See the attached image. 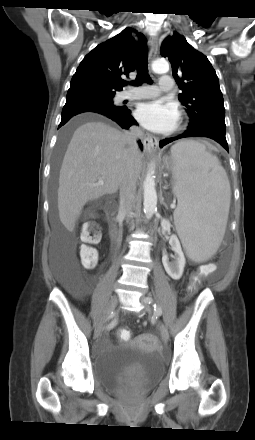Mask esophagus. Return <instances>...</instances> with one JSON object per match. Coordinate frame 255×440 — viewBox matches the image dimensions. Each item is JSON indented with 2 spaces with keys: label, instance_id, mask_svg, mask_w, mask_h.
<instances>
[{
  "label": "esophagus",
  "instance_id": "34e87169",
  "mask_svg": "<svg viewBox=\"0 0 255 440\" xmlns=\"http://www.w3.org/2000/svg\"><path fill=\"white\" fill-rule=\"evenodd\" d=\"M149 43H150L149 59L150 61H152L156 57L158 52V36L153 35L150 38ZM142 143L144 146V150L149 153L155 151L158 147V139L147 133L144 134Z\"/></svg>",
  "mask_w": 255,
  "mask_h": 440
}]
</instances>
